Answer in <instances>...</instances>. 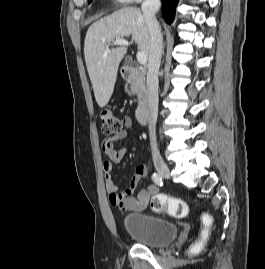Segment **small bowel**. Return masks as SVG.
Listing matches in <instances>:
<instances>
[{
	"label": "small bowel",
	"mask_w": 265,
	"mask_h": 269,
	"mask_svg": "<svg viewBox=\"0 0 265 269\" xmlns=\"http://www.w3.org/2000/svg\"><path fill=\"white\" fill-rule=\"evenodd\" d=\"M122 124L124 130L118 136L106 138L102 143V150L107 158L103 163L105 187L109 194V203L112 206L122 211L142 212L147 208L151 197L159 192V185L151 184L134 195L140 179L148 173L146 165L140 163L131 175L128 186L124 190L119 191L118 186L113 180L112 168L114 163H119L123 159L127 149L125 147L116 149L115 144L126 137L127 130L133 126L132 118L129 116L123 117Z\"/></svg>",
	"instance_id": "c3829d8e"
}]
</instances>
